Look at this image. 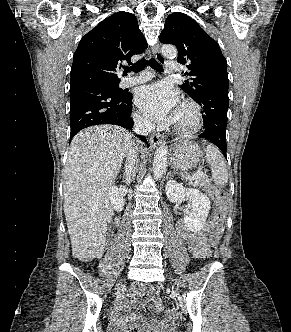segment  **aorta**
Wrapping results in <instances>:
<instances>
[{
  "label": "aorta",
  "instance_id": "1",
  "mask_svg": "<svg viewBox=\"0 0 291 332\" xmlns=\"http://www.w3.org/2000/svg\"><path fill=\"white\" fill-rule=\"evenodd\" d=\"M161 51L166 58L174 59L177 57V49L173 45H163ZM167 155V146L165 144L159 145L155 151L153 160V175L156 180L160 179L165 172Z\"/></svg>",
  "mask_w": 291,
  "mask_h": 332
}]
</instances>
